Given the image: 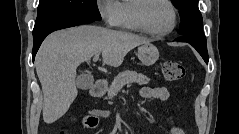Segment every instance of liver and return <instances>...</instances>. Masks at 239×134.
Returning a JSON list of instances; mask_svg holds the SVG:
<instances>
[{
    "instance_id": "obj_1",
    "label": "liver",
    "mask_w": 239,
    "mask_h": 134,
    "mask_svg": "<svg viewBox=\"0 0 239 134\" xmlns=\"http://www.w3.org/2000/svg\"><path fill=\"white\" fill-rule=\"evenodd\" d=\"M150 40L128 32L82 25L50 34L42 43L35 66L44 95L43 120L61 118L75 100L76 69L102 53L103 63L118 67L133 48Z\"/></svg>"
}]
</instances>
